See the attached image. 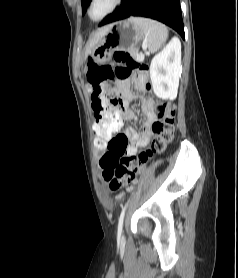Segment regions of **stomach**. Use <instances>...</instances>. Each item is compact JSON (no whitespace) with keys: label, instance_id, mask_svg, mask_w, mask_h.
<instances>
[{"label":"stomach","instance_id":"obj_1","mask_svg":"<svg viewBox=\"0 0 238 278\" xmlns=\"http://www.w3.org/2000/svg\"><path fill=\"white\" fill-rule=\"evenodd\" d=\"M142 29L130 19L109 25L105 35L95 44L90 54L98 64L111 60L117 50L130 51L143 40Z\"/></svg>","mask_w":238,"mask_h":278}]
</instances>
